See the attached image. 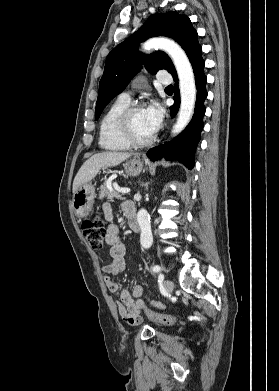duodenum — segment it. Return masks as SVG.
I'll return each instance as SVG.
<instances>
[{
    "instance_id": "duodenum-1",
    "label": "duodenum",
    "mask_w": 279,
    "mask_h": 391,
    "mask_svg": "<svg viewBox=\"0 0 279 391\" xmlns=\"http://www.w3.org/2000/svg\"><path fill=\"white\" fill-rule=\"evenodd\" d=\"M125 215L128 221V224L133 232H139L140 231V225L137 220V214L134 206L126 208L125 209Z\"/></svg>"
}]
</instances>
